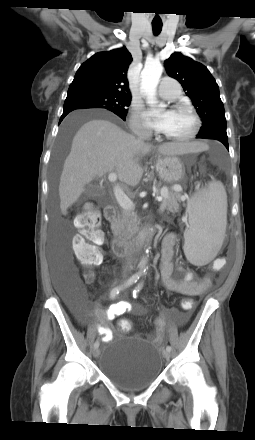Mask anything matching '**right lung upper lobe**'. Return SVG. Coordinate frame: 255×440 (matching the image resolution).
<instances>
[{"mask_svg": "<svg viewBox=\"0 0 255 440\" xmlns=\"http://www.w3.org/2000/svg\"><path fill=\"white\" fill-rule=\"evenodd\" d=\"M131 62L132 56L126 47L94 54L76 72L67 96L89 92L126 96Z\"/></svg>", "mask_w": 255, "mask_h": 440, "instance_id": "cb5924a9", "label": "right lung upper lobe"}]
</instances>
